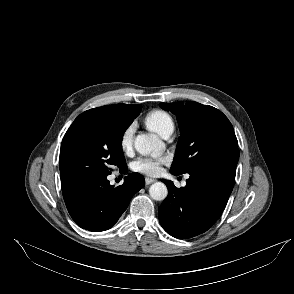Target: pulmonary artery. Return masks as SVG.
<instances>
[{
    "label": "pulmonary artery",
    "instance_id": "pulmonary-artery-1",
    "mask_svg": "<svg viewBox=\"0 0 294 294\" xmlns=\"http://www.w3.org/2000/svg\"><path fill=\"white\" fill-rule=\"evenodd\" d=\"M172 132L167 133L164 138H169L171 136Z\"/></svg>",
    "mask_w": 294,
    "mask_h": 294
}]
</instances>
